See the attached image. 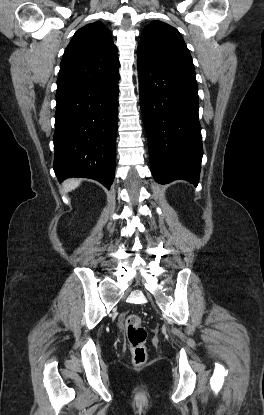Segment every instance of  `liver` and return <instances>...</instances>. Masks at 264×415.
<instances>
[{
	"instance_id": "liver-1",
	"label": "liver",
	"mask_w": 264,
	"mask_h": 415,
	"mask_svg": "<svg viewBox=\"0 0 264 415\" xmlns=\"http://www.w3.org/2000/svg\"><path fill=\"white\" fill-rule=\"evenodd\" d=\"M80 184L78 179H69L63 183L64 192L71 191L77 188Z\"/></svg>"
}]
</instances>
